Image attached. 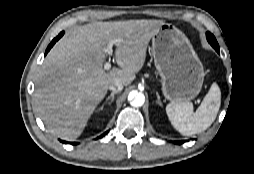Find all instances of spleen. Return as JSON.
<instances>
[{
  "mask_svg": "<svg viewBox=\"0 0 254 174\" xmlns=\"http://www.w3.org/2000/svg\"><path fill=\"white\" fill-rule=\"evenodd\" d=\"M221 104V92L213 83L196 112L190 102L170 103L166 107L173 127L182 135L191 136L205 131L216 119Z\"/></svg>",
  "mask_w": 254,
  "mask_h": 174,
  "instance_id": "spleen-1",
  "label": "spleen"
}]
</instances>
